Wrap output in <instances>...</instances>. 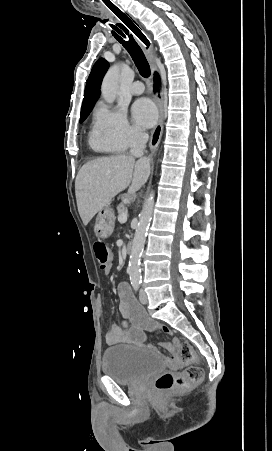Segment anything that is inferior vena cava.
<instances>
[{"label":"inferior vena cava","instance_id":"602c4592","mask_svg":"<svg viewBox=\"0 0 272 451\" xmlns=\"http://www.w3.org/2000/svg\"><path fill=\"white\" fill-rule=\"evenodd\" d=\"M148 138V134H144V132L134 134L131 142V156H137V158L144 156V148H146Z\"/></svg>","mask_w":272,"mask_h":451}]
</instances>
